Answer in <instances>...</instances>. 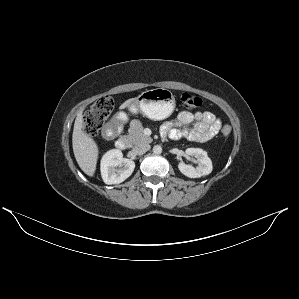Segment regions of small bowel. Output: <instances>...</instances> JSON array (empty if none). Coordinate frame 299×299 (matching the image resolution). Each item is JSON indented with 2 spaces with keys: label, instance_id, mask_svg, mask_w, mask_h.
<instances>
[{
  "label": "small bowel",
  "instance_id": "1",
  "mask_svg": "<svg viewBox=\"0 0 299 299\" xmlns=\"http://www.w3.org/2000/svg\"><path fill=\"white\" fill-rule=\"evenodd\" d=\"M221 125V120L211 112L182 111L174 122L162 126V133L175 140L186 138L190 141L205 142L218 134Z\"/></svg>",
  "mask_w": 299,
  "mask_h": 299
}]
</instances>
